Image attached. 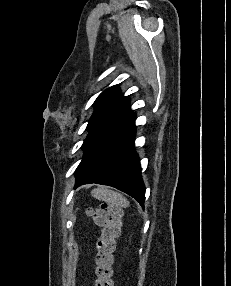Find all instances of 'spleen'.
I'll return each instance as SVG.
<instances>
[{
    "mask_svg": "<svg viewBox=\"0 0 231 286\" xmlns=\"http://www.w3.org/2000/svg\"><path fill=\"white\" fill-rule=\"evenodd\" d=\"M91 194L96 199L106 201L113 206L122 208L129 206V201L127 198H125L122 194L107 188H96Z\"/></svg>",
    "mask_w": 231,
    "mask_h": 286,
    "instance_id": "1",
    "label": "spleen"
}]
</instances>
